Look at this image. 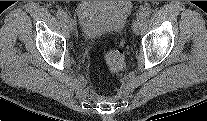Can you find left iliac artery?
I'll return each mask as SVG.
<instances>
[{
	"instance_id": "44dca946",
	"label": "left iliac artery",
	"mask_w": 207,
	"mask_h": 121,
	"mask_svg": "<svg viewBox=\"0 0 207 121\" xmlns=\"http://www.w3.org/2000/svg\"><path fill=\"white\" fill-rule=\"evenodd\" d=\"M150 13H151V9L148 7H145L139 12V16L142 18H146L150 15Z\"/></svg>"
}]
</instances>
